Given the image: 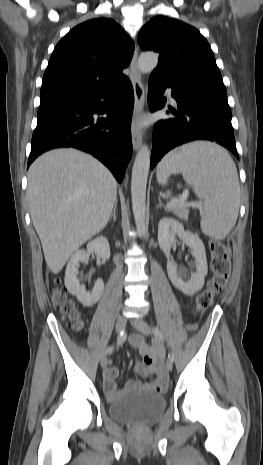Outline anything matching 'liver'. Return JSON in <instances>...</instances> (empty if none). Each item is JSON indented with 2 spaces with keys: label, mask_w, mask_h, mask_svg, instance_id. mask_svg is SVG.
<instances>
[{
  "label": "liver",
  "mask_w": 263,
  "mask_h": 465,
  "mask_svg": "<svg viewBox=\"0 0 263 465\" xmlns=\"http://www.w3.org/2000/svg\"><path fill=\"white\" fill-rule=\"evenodd\" d=\"M27 199L46 264L58 274L106 226L117 201V182L91 155L56 149L30 166Z\"/></svg>",
  "instance_id": "6515ba94"
}]
</instances>
